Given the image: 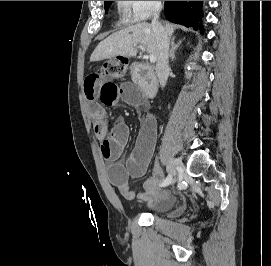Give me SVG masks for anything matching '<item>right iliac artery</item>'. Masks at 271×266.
<instances>
[{
    "label": "right iliac artery",
    "instance_id": "obj_1",
    "mask_svg": "<svg viewBox=\"0 0 271 266\" xmlns=\"http://www.w3.org/2000/svg\"><path fill=\"white\" fill-rule=\"evenodd\" d=\"M171 181H172V176L168 174L165 180L161 183V186H167L171 183Z\"/></svg>",
    "mask_w": 271,
    "mask_h": 266
}]
</instances>
